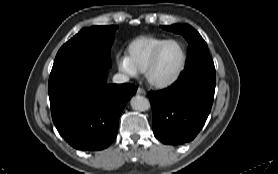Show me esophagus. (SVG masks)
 Here are the masks:
<instances>
[{"mask_svg":"<svg viewBox=\"0 0 278 174\" xmlns=\"http://www.w3.org/2000/svg\"><path fill=\"white\" fill-rule=\"evenodd\" d=\"M137 94H139V95H146V91L143 88L139 87L137 89Z\"/></svg>","mask_w":278,"mask_h":174,"instance_id":"34e87169","label":"esophagus"}]
</instances>
